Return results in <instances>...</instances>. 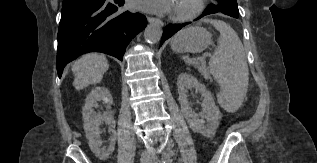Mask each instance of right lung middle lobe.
<instances>
[{
	"mask_svg": "<svg viewBox=\"0 0 317 163\" xmlns=\"http://www.w3.org/2000/svg\"><path fill=\"white\" fill-rule=\"evenodd\" d=\"M87 1H90V0H68V1H64L62 6L63 8L62 9H65V8H71V7H76L78 5H81Z\"/></svg>",
	"mask_w": 317,
	"mask_h": 163,
	"instance_id": "dd1d6c3e",
	"label": "right lung middle lobe"
}]
</instances>
